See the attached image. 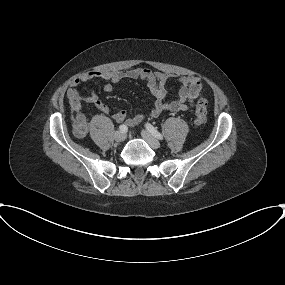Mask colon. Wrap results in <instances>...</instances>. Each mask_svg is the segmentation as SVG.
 <instances>
[{
  "instance_id": "5ec220e1",
  "label": "colon",
  "mask_w": 285,
  "mask_h": 285,
  "mask_svg": "<svg viewBox=\"0 0 285 285\" xmlns=\"http://www.w3.org/2000/svg\"><path fill=\"white\" fill-rule=\"evenodd\" d=\"M207 122V102L201 98L197 101L195 106V124L202 126ZM75 133L82 137L86 133V125L84 123H78L75 127Z\"/></svg>"
}]
</instances>
